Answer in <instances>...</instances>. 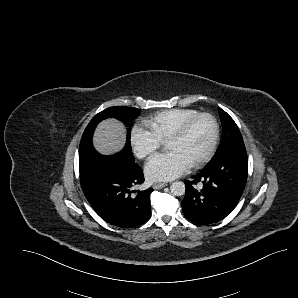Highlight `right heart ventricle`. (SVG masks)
<instances>
[{"label":"right heart ventricle","instance_id":"e07e8e85","mask_svg":"<svg viewBox=\"0 0 298 298\" xmlns=\"http://www.w3.org/2000/svg\"><path fill=\"white\" fill-rule=\"evenodd\" d=\"M200 112L192 108H174L161 110L144 122L148 124L150 130L160 139L165 137L174 130L181 122L192 118Z\"/></svg>","mask_w":298,"mask_h":298}]
</instances>
